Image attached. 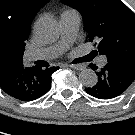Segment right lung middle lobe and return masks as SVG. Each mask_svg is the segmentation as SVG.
<instances>
[{
  "label": "right lung middle lobe",
  "mask_w": 135,
  "mask_h": 135,
  "mask_svg": "<svg viewBox=\"0 0 135 135\" xmlns=\"http://www.w3.org/2000/svg\"><path fill=\"white\" fill-rule=\"evenodd\" d=\"M27 38L9 30L0 32V52L4 55L23 56Z\"/></svg>",
  "instance_id": "dd1d6c3e"
}]
</instances>
